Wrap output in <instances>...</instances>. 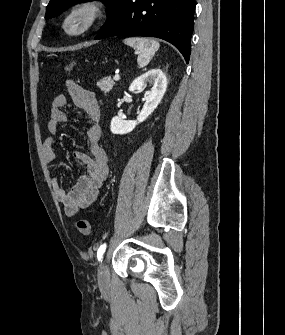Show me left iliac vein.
<instances>
[{
    "label": "left iliac vein",
    "instance_id": "obj_1",
    "mask_svg": "<svg viewBox=\"0 0 285 335\" xmlns=\"http://www.w3.org/2000/svg\"><path fill=\"white\" fill-rule=\"evenodd\" d=\"M110 281V275L106 261H103L99 266V282L101 285L108 284Z\"/></svg>",
    "mask_w": 285,
    "mask_h": 335
}]
</instances>
